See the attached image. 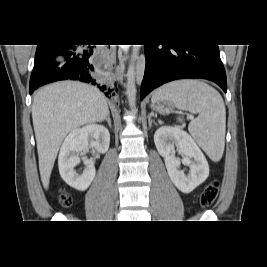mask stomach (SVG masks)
Listing matches in <instances>:
<instances>
[{"label":"stomach","instance_id":"stomach-1","mask_svg":"<svg viewBox=\"0 0 267 267\" xmlns=\"http://www.w3.org/2000/svg\"><path fill=\"white\" fill-rule=\"evenodd\" d=\"M151 108L160 114H169L173 109V103L169 100H158L156 102L152 101Z\"/></svg>","mask_w":267,"mask_h":267}]
</instances>
